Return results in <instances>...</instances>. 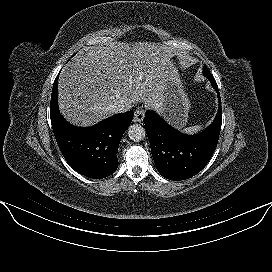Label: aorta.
<instances>
[{
	"mask_svg": "<svg viewBox=\"0 0 272 272\" xmlns=\"http://www.w3.org/2000/svg\"><path fill=\"white\" fill-rule=\"evenodd\" d=\"M128 136L132 141L140 142L145 138L146 131L140 124H132L128 128Z\"/></svg>",
	"mask_w": 272,
	"mask_h": 272,
	"instance_id": "obj_1",
	"label": "aorta"
}]
</instances>
